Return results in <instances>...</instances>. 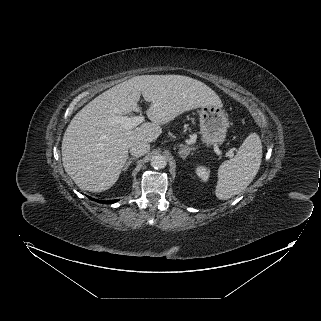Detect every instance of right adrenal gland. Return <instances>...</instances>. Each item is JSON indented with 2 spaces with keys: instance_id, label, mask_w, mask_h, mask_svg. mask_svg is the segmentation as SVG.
Instances as JSON below:
<instances>
[{
  "instance_id": "2a0ac1e0",
  "label": "right adrenal gland",
  "mask_w": 321,
  "mask_h": 321,
  "mask_svg": "<svg viewBox=\"0 0 321 321\" xmlns=\"http://www.w3.org/2000/svg\"><path fill=\"white\" fill-rule=\"evenodd\" d=\"M138 158L133 157V158H129V160L125 163L124 167L122 168V171H126L128 169V167L130 166V164L132 163V161L137 160Z\"/></svg>"
}]
</instances>
